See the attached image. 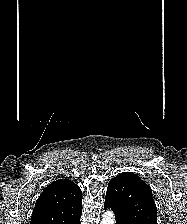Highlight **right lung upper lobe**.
<instances>
[{"label": "right lung upper lobe", "mask_w": 187, "mask_h": 224, "mask_svg": "<svg viewBox=\"0 0 187 224\" xmlns=\"http://www.w3.org/2000/svg\"><path fill=\"white\" fill-rule=\"evenodd\" d=\"M82 212V192L69 179L49 184L36 201L30 224H68Z\"/></svg>", "instance_id": "1"}]
</instances>
